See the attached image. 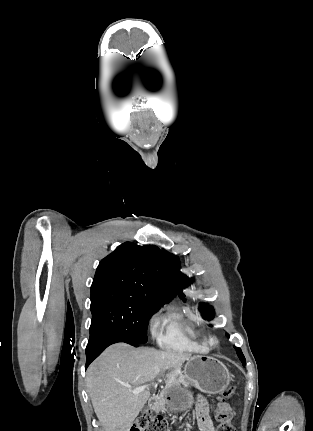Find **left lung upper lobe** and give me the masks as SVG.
Instances as JSON below:
<instances>
[{"instance_id":"left-lung-upper-lobe-1","label":"left lung upper lobe","mask_w":313,"mask_h":431,"mask_svg":"<svg viewBox=\"0 0 313 431\" xmlns=\"http://www.w3.org/2000/svg\"><path fill=\"white\" fill-rule=\"evenodd\" d=\"M163 253H164V256L168 262L171 274H172L174 282L176 284V290H177L178 296L181 299L185 300V295H184L182 290L186 286L190 285L192 283L193 279L187 278L183 273L180 272L179 260H178L177 256H175L171 253H168L165 250H163ZM200 310L202 312V316L204 319H207V320L213 319V317L215 315L213 307L202 303L200 306ZM226 335L229 337L228 334H226ZM234 348L237 351V355H238L239 359L241 360V362L244 366L245 365V357H244L241 349L238 347H235V346H234Z\"/></svg>"}]
</instances>
